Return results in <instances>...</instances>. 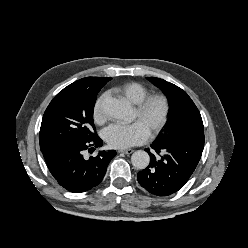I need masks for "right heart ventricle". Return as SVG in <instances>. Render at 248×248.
<instances>
[{
	"label": "right heart ventricle",
	"instance_id": "1",
	"mask_svg": "<svg viewBox=\"0 0 248 248\" xmlns=\"http://www.w3.org/2000/svg\"><path fill=\"white\" fill-rule=\"evenodd\" d=\"M114 90L133 104L139 103L149 93L148 88L138 82H127Z\"/></svg>",
	"mask_w": 248,
	"mask_h": 248
}]
</instances>
